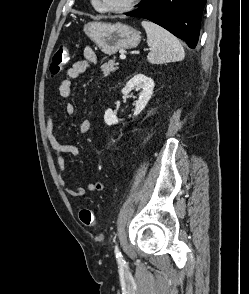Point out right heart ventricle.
<instances>
[{
  "label": "right heart ventricle",
  "mask_w": 249,
  "mask_h": 294,
  "mask_svg": "<svg viewBox=\"0 0 249 294\" xmlns=\"http://www.w3.org/2000/svg\"><path fill=\"white\" fill-rule=\"evenodd\" d=\"M91 3H92V6H93V8L96 10V11H100L98 8H97V6L94 4V2L91 0Z\"/></svg>",
  "instance_id": "e07e8e85"
}]
</instances>
